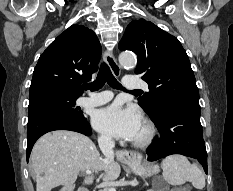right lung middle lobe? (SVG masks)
Segmentation results:
<instances>
[{"label":"right lung middle lobe","mask_w":233,"mask_h":191,"mask_svg":"<svg viewBox=\"0 0 233 191\" xmlns=\"http://www.w3.org/2000/svg\"><path fill=\"white\" fill-rule=\"evenodd\" d=\"M78 97L68 96L57 92L40 93L29 100L28 115L31 116L41 109L59 111L74 117L84 118L79 107L75 106Z\"/></svg>","instance_id":"obj_1"}]
</instances>
